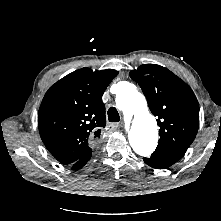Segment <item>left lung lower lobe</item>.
I'll return each mask as SVG.
<instances>
[{"mask_svg": "<svg viewBox=\"0 0 221 221\" xmlns=\"http://www.w3.org/2000/svg\"><path fill=\"white\" fill-rule=\"evenodd\" d=\"M181 157L173 153L154 151L150 158H143V160L153 168L165 169L176 163Z\"/></svg>", "mask_w": 221, "mask_h": 221, "instance_id": "0a47b994", "label": "left lung lower lobe"}]
</instances>
